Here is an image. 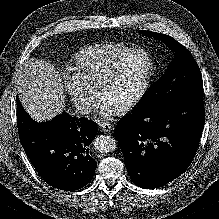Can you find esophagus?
<instances>
[{
    "label": "esophagus",
    "instance_id": "34e87169",
    "mask_svg": "<svg viewBox=\"0 0 219 219\" xmlns=\"http://www.w3.org/2000/svg\"><path fill=\"white\" fill-rule=\"evenodd\" d=\"M100 129L104 133H110L113 130V125L107 122H101Z\"/></svg>",
    "mask_w": 219,
    "mask_h": 219
}]
</instances>
